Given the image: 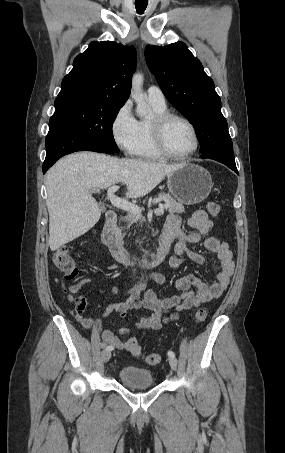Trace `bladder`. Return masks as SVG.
Listing matches in <instances>:
<instances>
[{
    "instance_id": "obj_1",
    "label": "bladder",
    "mask_w": 285,
    "mask_h": 453,
    "mask_svg": "<svg viewBox=\"0 0 285 453\" xmlns=\"http://www.w3.org/2000/svg\"><path fill=\"white\" fill-rule=\"evenodd\" d=\"M119 381L129 387L143 388L155 384L152 372L149 369L136 365H126L118 372Z\"/></svg>"
}]
</instances>
